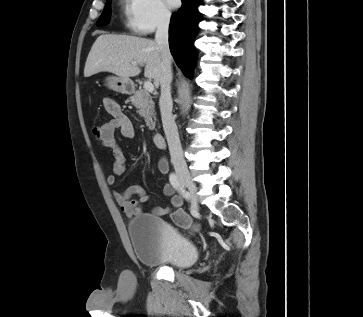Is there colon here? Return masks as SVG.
<instances>
[{"mask_svg": "<svg viewBox=\"0 0 363 317\" xmlns=\"http://www.w3.org/2000/svg\"><path fill=\"white\" fill-rule=\"evenodd\" d=\"M98 129L99 126H95L93 128V133L96 134L98 132ZM171 218L173 222L180 228L192 230L197 229V225L192 221L191 217L181 210H174L171 213Z\"/></svg>", "mask_w": 363, "mask_h": 317, "instance_id": "1", "label": "colon"}]
</instances>
